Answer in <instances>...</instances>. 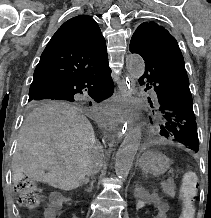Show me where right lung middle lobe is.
Listing matches in <instances>:
<instances>
[{
    "label": "right lung middle lobe",
    "mask_w": 211,
    "mask_h": 218,
    "mask_svg": "<svg viewBox=\"0 0 211 218\" xmlns=\"http://www.w3.org/2000/svg\"><path fill=\"white\" fill-rule=\"evenodd\" d=\"M96 102H101L104 99L102 98H92ZM28 108L31 110L36 109H48V108H56L63 107L69 105H78L82 107L88 106V101L82 100L78 97H67V96H54V97H45L36 100L28 101ZM89 105H92V102H89Z\"/></svg>",
    "instance_id": "1"
}]
</instances>
